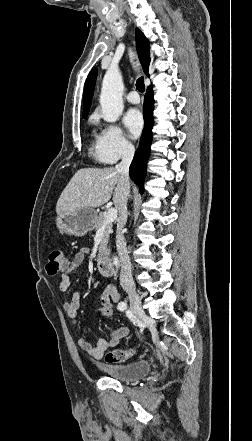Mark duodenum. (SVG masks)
Segmentation results:
<instances>
[{
	"instance_id": "obj_1",
	"label": "duodenum",
	"mask_w": 252,
	"mask_h": 441,
	"mask_svg": "<svg viewBox=\"0 0 252 441\" xmlns=\"http://www.w3.org/2000/svg\"><path fill=\"white\" fill-rule=\"evenodd\" d=\"M98 268L100 273L105 276H111L114 274V267L111 260L104 255L99 258Z\"/></svg>"
}]
</instances>
